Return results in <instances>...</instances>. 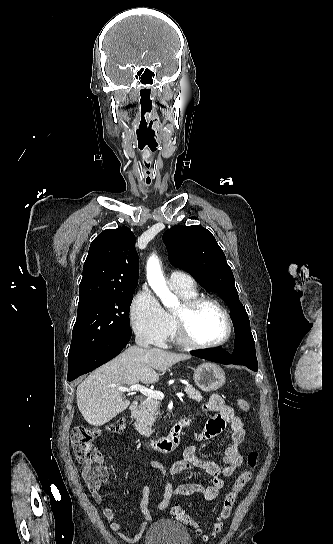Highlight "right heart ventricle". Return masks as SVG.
<instances>
[{
    "label": "right heart ventricle",
    "mask_w": 333,
    "mask_h": 544,
    "mask_svg": "<svg viewBox=\"0 0 333 544\" xmlns=\"http://www.w3.org/2000/svg\"><path fill=\"white\" fill-rule=\"evenodd\" d=\"M174 290L182 298V300L193 298V297L197 296V292H196L195 288H192V289H175L174 288ZM167 314L169 316L170 324H171V330H170V335H169L170 339L173 342L177 343V344H183L180 341V339L178 338L173 314H169V313H167Z\"/></svg>",
    "instance_id": "obj_1"
}]
</instances>
